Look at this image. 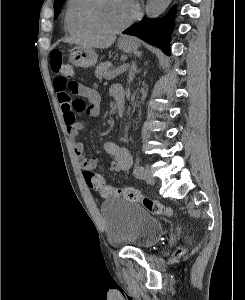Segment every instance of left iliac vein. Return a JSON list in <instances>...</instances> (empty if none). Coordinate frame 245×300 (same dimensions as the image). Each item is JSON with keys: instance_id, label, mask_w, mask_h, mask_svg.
Masks as SVG:
<instances>
[{"instance_id": "1", "label": "left iliac vein", "mask_w": 245, "mask_h": 300, "mask_svg": "<svg viewBox=\"0 0 245 300\" xmlns=\"http://www.w3.org/2000/svg\"><path fill=\"white\" fill-rule=\"evenodd\" d=\"M143 176H144V180L150 184V185H154L155 184V179L152 176V173L150 171V169L148 167H146L143 171Z\"/></svg>"}]
</instances>
